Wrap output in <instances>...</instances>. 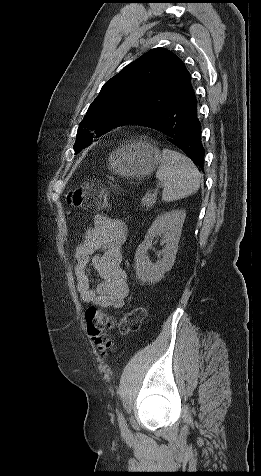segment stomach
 I'll return each instance as SVG.
<instances>
[{"instance_id":"1","label":"stomach","mask_w":261,"mask_h":476,"mask_svg":"<svg viewBox=\"0 0 261 476\" xmlns=\"http://www.w3.org/2000/svg\"><path fill=\"white\" fill-rule=\"evenodd\" d=\"M109 169L125 177H144L151 174L161 162L158 148L148 142L133 141L112 151Z\"/></svg>"}]
</instances>
